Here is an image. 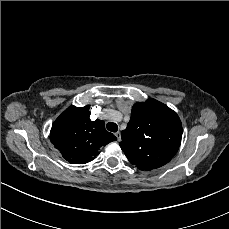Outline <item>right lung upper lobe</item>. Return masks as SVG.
Wrapping results in <instances>:
<instances>
[{"label": "right lung upper lobe", "mask_w": 229, "mask_h": 229, "mask_svg": "<svg viewBox=\"0 0 229 229\" xmlns=\"http://www.w3.org/2000/svg\"><path fill=\"white\" fill-rule=\"evenodd\" d=\"M89 105L70 106L53 123L50 140L69 163L92 161L102 146L117 140L106 131L103 120H90Z\"/></svg>", "instance_id": "cb5924a9"}]
</instances>
